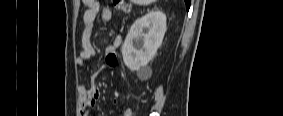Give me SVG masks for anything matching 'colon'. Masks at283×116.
I'll return each mask as SVG.
<instances>
[{"label":"colon","mask_w":283,"mask_h":116,"mask_svg":"<svg viewBox=\"0 0 283 116\" xmlns=\"http://www.w3.org/2000/svg\"><path fill=\"white\" fill-rule=\"evenodd\" d=\"M113 3L118 11L128 12L130 10L129 2L126 0H114Z\"/></svg>","instance_id":"colon-1"}]
</instances>
